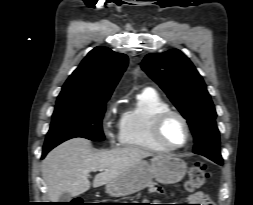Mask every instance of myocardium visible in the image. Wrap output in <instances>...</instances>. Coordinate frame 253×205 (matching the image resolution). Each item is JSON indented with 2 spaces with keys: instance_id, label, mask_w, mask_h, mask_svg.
Instances as JSON below:
<instances>
[{
  "instance_id": "f54148a6",
  "label": "myocardium",
  "mask_w": 253,
  "mask_h": 205,
  "mask_svg": "<svg viewBox=\"0 0 253 205\" xmlns=\"http://www.w3.org/2000/svg\"><path fill=\"white\" fill-rule=\"evenodd\" d=\"M171 118L179 119L185 128L186 138L182 144L173 145V144L168 143L164 139L163 129H164V126L166 125V123ZM152 136H153V139L155 140V142L163 149L177 150V149H181V148L185 147L188 144V142L190 141V138H191V129H190L189 122L181 113L170 109V110L164 111L156 116V118L154 119V122L152 124Z\"/></svg>"
}]
</instances>
